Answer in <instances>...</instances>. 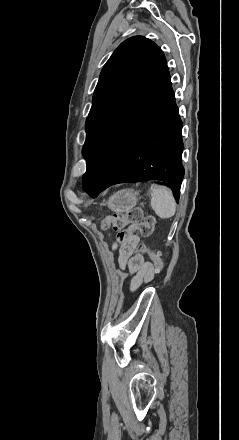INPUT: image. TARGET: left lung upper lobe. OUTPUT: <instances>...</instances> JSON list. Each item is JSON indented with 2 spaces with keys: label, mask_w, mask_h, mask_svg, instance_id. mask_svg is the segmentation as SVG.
Segmentation results:
<instances>
[{
  "label": "left lung upper lobe",
  "mask_w": 239,
  "mask_h": 440,
  "mask_svg": "<svg viewBox=\"0 0 239 440\" xmlns=\"http://www.w3.org/2000/svg\"><path fill=\"white\" fill-rule=\"evenodd\" d=\"M163 51L150 39L134 36L104 65L86 120L83 155L87 163L107 132L135 105L166 66Z\"/></svg>",
  "instance_id": "left-lung-upper-lobe-1"
}]
</instances>
